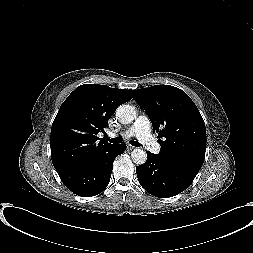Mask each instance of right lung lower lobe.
I'll return each mask as SVG.
<instances>
[{
    "mask_svg": "<svg viewBox=\"0 0 253 253\" xmlns=\"http://www.w3.org/2000/svg\"><path fill=\"white\" fill-rule=\"evenodd\" d=\"M125 145H112L75 169L59 173L65 186L82 197L101 193L109 184L113 162Z\"/></svg>",
    "mask_w": 253,
    "mask_h": 253,
    "instance_id": "right-lung-lower-lobe-1",
    "label": "right lung lower lobe"
}]
</instances>
